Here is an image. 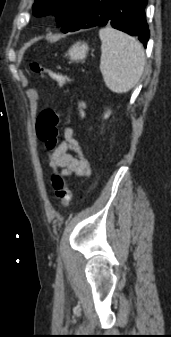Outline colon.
<instances>
[{
    "label": "colon",
    "mask_w": 171,
    "mask_h": 337,
    "mask_svg": "<svg viewBox=\"0 0 171 337\" xmlns=\"http://www.w3.org/2000/svg\"><path fill=\"white\" fill-rule=\"evenodd\" d=\"M30 67L33 72L45 75L54 83V85L58 87L65 86L70 83L69 79L65 75L45 68L36 62L31 63ZM77 105L80 114H82L84 102L79 100ZM61 118L62 115L60 111L52 108L42 110L37 117L35 125L37 137L45 143L47 149L50 151H53L57 146L59 137L58 126L61 122ZM52 184L55 190V195L60 201L61 206L67 207L72 197L69 182L64 176L56 174L52 177Z\"/></svg>",
    "instance_id": "1"
}]
</instances>
